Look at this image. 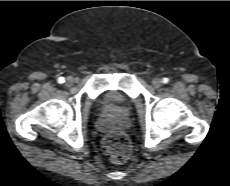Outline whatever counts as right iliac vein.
<instances>
[{
	"mask_svg": "<svg viewBox=\"0 0 230 186\" xmlns=\"http://www.w3.org/2000/svg\"><path fill=\"white\" fill-rule=\"evenodd\" d=\"M66 85L67 86H72L74 83H75V79L73 78V77H68L67 79H66Z\"/></svg>",
	"mask_w": 230,
	"mask_h": 186,
	"instance_id": "1",
	"label": "right iliac vein"
}]
</instances>
